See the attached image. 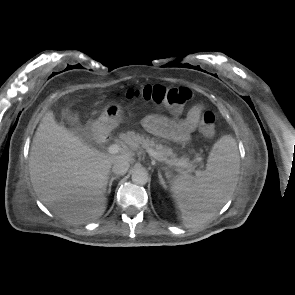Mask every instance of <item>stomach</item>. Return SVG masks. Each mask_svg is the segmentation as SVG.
I'll use <instances>...</instances> for the list:
<instances>
[{"label": "stomach", "instance_id": "stomach-1", "mask_svg": "<svg viewBox=\"0 0 295 295\" xmlns=\"http://www.w3.org/2000/svg\"><path fill=\"white\" fill-rule=\"evenodd\" d=\"M123 116L121 107L117 104L107 105L101 116L93 122L92 131L96 134H106L118 126Z\"/></svg>", "mask_w": 295, "mask_h": 295}]
</instances>
